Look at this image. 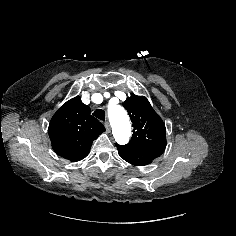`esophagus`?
Returning a JSON list of instances; mask_svg holds the SVG:
<instances>
[{"mask_svg": "<svg viewBox=\"0 0 236 236\" xmlns=\"http://www.w3.org/2000/svg\"><path fill=\"white\" fill-rule=\"evenodd\" d=\"M104 125H105V128H106L107 132H110V124H109V122L105 121Z\"/></svg>", "mask_w": 236, "mask_h": 236, "instance_id": "1", "label": "esophagus"}]
</instances>
